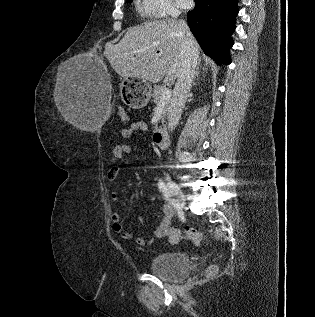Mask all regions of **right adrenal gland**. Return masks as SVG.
Masks as SVG:
<instances>
[{"label":"right adrenal gland","mask_w":315,"mask_h":317,"mask_svg":"<svg viewBox=\"0 0 315 317\" xmlns=\"http://www.w3.org/2000/svg\"><path fill=\"white\" fill-rule=\"evenodd\" d=\"M198 70H199V67H197V70L195 72V77H198V74H199ZM193 85H195V83H193Z\"/></svg>","instance_id":"obj_1"}]
</instances>
